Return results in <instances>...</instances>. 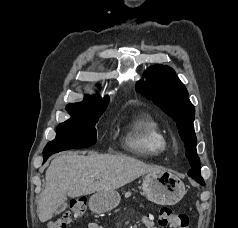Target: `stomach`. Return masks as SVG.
<instances>
[{"instance_id":"0dacf381","label":"stomach","mask_w":238,"mask_h":228,"mask_svg":"<svg viewBox=\"0 0 238 228\" xmlns=\"http://www.w3.org/2000/svg\"><path fill=\"white\" fill-rule=\"evenodd\" d=\"M144 195L158 205H174L185 195V185L175 174L167 171L148 173L143 178ZM117 191L97 192L89 200V207L96 213L108 212L120 203Z\"/></svg>"}]
</instances>
